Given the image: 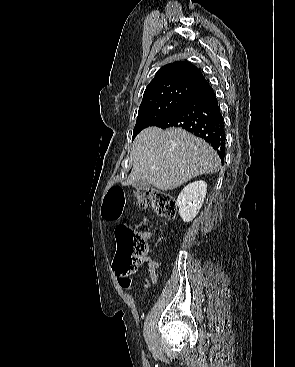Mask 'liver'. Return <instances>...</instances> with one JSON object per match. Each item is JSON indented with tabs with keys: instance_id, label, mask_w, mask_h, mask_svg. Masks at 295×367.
Listing matches in <instances>:
<instances>
[{
	"instance_id": "liver-1",
	"label": "liver",
	"mask_w": 295,
	"mask_h": 367,
	"mask_svg": "<svg viewBox=\"0 0 295 367\" xmlns=\"http://www.w3.org/2000/svg\"><path fill=\"white\" fill-rule=\"evenodd\" d=\"M133 167L127 185L143 180L162 191L173 190L192 178L219 171L217 152L204 140L180 128L149 127L135 138Z\"/></svg>"
}]
</instances>
